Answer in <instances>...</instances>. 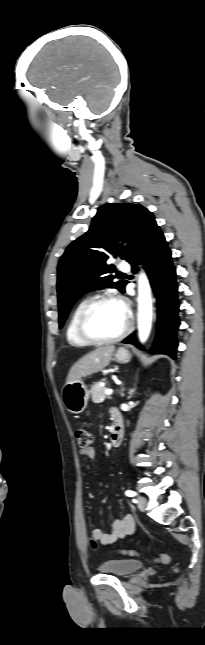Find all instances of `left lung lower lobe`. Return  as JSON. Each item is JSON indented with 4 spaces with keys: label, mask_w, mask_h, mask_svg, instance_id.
I'll return each mask as SVG.
<instances>
[{
    "label": "left lung lower lobe",
    "mask_w": 205,
    "mask_h": 645,
    "mask_svg": "<svg viewBox=\"0 0 205 645\" xmlns=\"http://www.w3.org/2000/svg\"><path fill=\"white\" fill-rule=\"evenodd\" d=\"M137 262L144 265L157 299V333L152 353L167 354L176 358V331L180 325L176 269L172 263L171 251L156 222L149 227L135 256L129 262L133 270H137ZM123 342L140 347L135 335H130Z\"/></svg>",
    "instance_id": "obj_1"
}]
</instances>
